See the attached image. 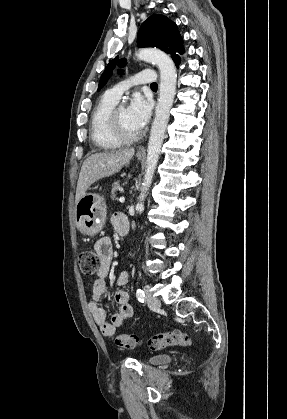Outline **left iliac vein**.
<instances>
[{
	"instance_id": "obj_1",
	"label": "left iliac vein",
	"mask_w": 287,
	"mask_h": 419,
	"mask_svg": "<svg viewBox=\"0 0 287 419\" xmlns=\"http://www.w3.org/2000/svg\"><path fill=\"white\" fill-rule=\"evenodd\" d=\"M144 291L146 294L145 302L150 308H159L160 307V301L157 297L153 296L152 292L150 291L148 286L144 287Z\"/></svg>"
}]
</instances>
